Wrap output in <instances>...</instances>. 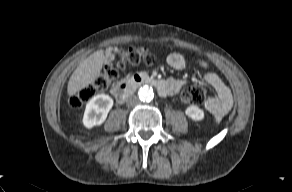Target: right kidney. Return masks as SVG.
I'll return each mask as SVG.
<instances>
[{"mask_svg": "<svg viewBox=\"0 0 292 192\" xmlns=\"http://www.w3.org/2000/svg\"><path fill=\"white\" fill-rule=\"evenodd\" d=\"M113 106V99L106 94L94 96L86 105L83 124L87 128L101 125Z\"/></svg>", "mask_w": 292, "mask_h": 192, "instance_id": "1", "label": "right kidney"}]
</instances>
